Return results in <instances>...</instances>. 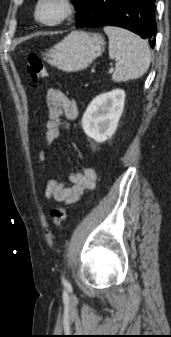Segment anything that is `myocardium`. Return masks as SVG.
I'll list each match as a JSON object with an SVG mask.
<instances>
[{"label": "myocardium", "instance_id": "obj_1", "mask_svg": "<svg viewBox=\"0 0 171 337\" xmlns=\"http://www.w3.org/2000/svg\"><path fill=\"white\" fill-rule=\"evenodd\" d=\"M48 2H54L58 4L61 8L60 15L53 20H45L39 16V12L42 6ZM76 9L77 5L75 0H37L34 5L33 13L36 22H38L39 24L45 27H55L67 21L76 12Z\"/></svg>", "mask_w": 171, "mask_h": 337}]
</instances>
